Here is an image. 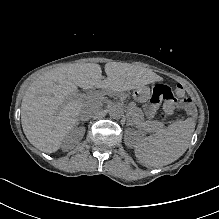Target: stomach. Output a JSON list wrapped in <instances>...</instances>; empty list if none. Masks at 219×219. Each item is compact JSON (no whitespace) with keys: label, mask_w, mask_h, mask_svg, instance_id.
Masks as SVG:
<instances>
[{"label":"stomach","mask_w":219,"mask_h":219,"mask_svg":"<svg viewBox=\"0 0 219 219\" xmlns=\"http://www.w3.org/2000/svg\"><path fill=\"white\" fill-rule=\"evenodd\" d=\"M149 94V90L145 87L138 88L135 92V97L138 100H144Z\"/></svg>","instance_id":"obj_1"}]
</instances>
